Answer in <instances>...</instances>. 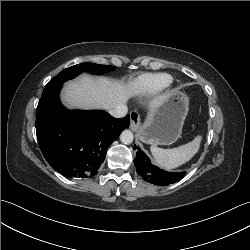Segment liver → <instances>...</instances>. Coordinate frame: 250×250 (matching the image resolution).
Wrapping results in <instances>:
<instances>
[{
  "mask_svg": "<svg viewBox=\"0 0 250 250\" xmlns=\"http://www.w3.org/2000/svg\"><path fill=\"white\" fill-rule=\"evenodd\" d=\"M135 93L136 89L130 84L83 75L79 79L65 84L62 101L70 109L111 110L125 105ZM167 96L161 95L155 98L151 107L159 105Z\"/></svg>",
  "mask_w": 250,
  "mask_h": 250,
  "instance_id": "liver-1",
  "label": "liver"
}]
</instances>
